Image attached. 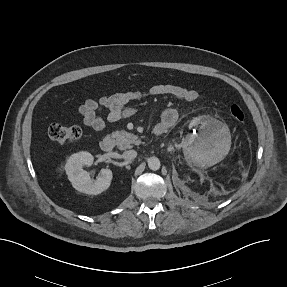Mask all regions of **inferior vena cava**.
I'll use <instances>...</instances> for the list:
<instances>
[{
    "label": "inferior vena cava",
    "mask_w": 287,
    "mask_h": 287,
    "mask_svg": "<svg viewBox=\"0 0 287 287\" xmlns=\"http://www.w3.org/2000/svg\"><path fill=\"white\" fill-rule=\"evenodd\" d=\"M137 156V152L135 150H128L123 152L122 157L125 160H132L134 158H136Z\"/></svg>",
    "instance_id": "1"
}]
</instances>
